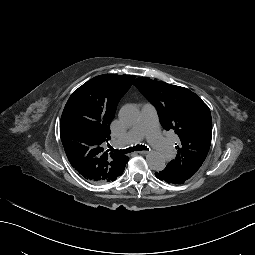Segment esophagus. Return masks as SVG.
<instances>
[{"label":"esophagus","mask_w":255,"mask_h":255,"mask_svg":"<svg viewBox=\"0 0 255 255\" xmlns=\"http://www.w3.org/2000/svg\"><path fill=\"white\" fill-rule=\"evenodd\" d=\"M137 153H139V154H147L149 152L148 151H137Z\"/></svg>","instance_id":"34e87169"}]
</instances>
